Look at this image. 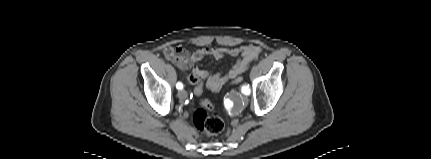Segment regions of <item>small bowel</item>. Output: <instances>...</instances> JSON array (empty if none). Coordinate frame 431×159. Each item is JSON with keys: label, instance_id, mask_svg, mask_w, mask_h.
<instances>
[{"label": "small bowel", "instance_id": "small-bowel-1", "mask_svg": "<svg viewBox=\"0 0 431 159\" xmlns=\"http://www.w3.org/2000/svg\"><path fill=\"white\" fill-rule=\"evenodd\" d=\"M261 53V48L256 45H246L240 47H203L195 51H188L180 46L167 47L164 49V56L178 68L185 70L192 68L195 77H199L212 91H218L227 82L240 77L248 65L255 60ZM237 57V61L232 65L226 74H211L206 70L194 66L206 56H212L215 59H221L224 56Z\"/></svg>", "mask_w": 431, "mask_h": 159}]
</instances>
